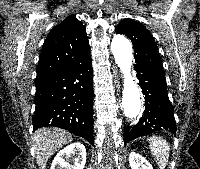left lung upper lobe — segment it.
Here are the masks:
<instances>
[{
	"label": "left lung upper lobe",
	"instance_id": "1",
	"mask_svg": "<svg viewBox=\"0 0 200 169\" xmlns=\"http://www.w3.org/2000/svg\"><path fill=\"white\" fill-rule=\"evenodd\" d=\"M118 34H125L133 43L136 63L147 64L163 73L159 51L151 33L140 23L126 18L115 29Z\"/></svg>",
	"mask_w": 200,
	"mask_h": 169
}]
</instances>
